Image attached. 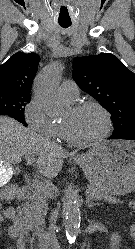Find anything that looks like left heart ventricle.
<instances>
[{
  "label": "left heart ventricle",
  "mask_w": 135,
  "mask_h": 249,
  "mask_svg": "<svg viewBox=\"0 0 135 249\" xmlns=\"http://www.w3.org/2000/svg\"><path fill=\"white\" fill-rule=\"evenodd\" d=\"M71 135L79 141H90L99 137L105 130V119L95 108H87L76 112L70 110L63 121Z\"/></svg>",
  "instance_id": "obj_1"
}]
</instances>
